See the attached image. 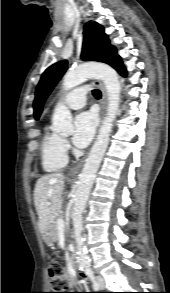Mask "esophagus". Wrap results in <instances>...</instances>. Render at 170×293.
Returning a JSON list of instances; mask_svg holds the SVG:
<instances>
[{
    "mask_svg": "<svg viewBox=\"0 0 170 293\" xmlns=\"http://www.w3.org/2000/svg\"><path fill=\"white\" fill-rule=\"evenodd\" d=\"M94 83L100 89L101 94H102V98L100 101V105H101L100 115H101V118H103V116L105 114L106 105H107V91H106L105 85L101 81L95 80ZM84 162H85V157H83L77 164H75L71 168L69 174L71 176H77L78 173L80 172Z\"/></svg>",
    "mask_w": 170,
    "mask_h": 293,
    "instance_id": "obj_1",
    "label": "esophagus"
}]
</instances>
